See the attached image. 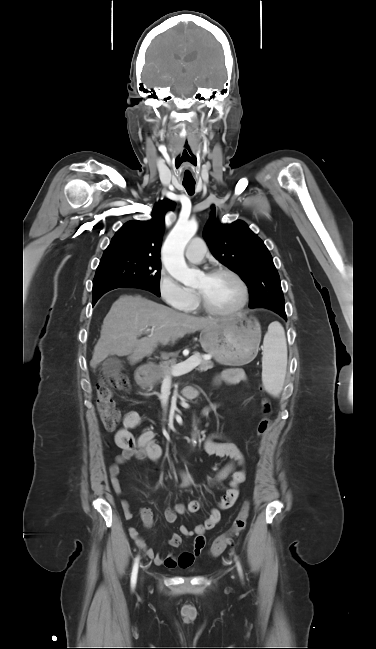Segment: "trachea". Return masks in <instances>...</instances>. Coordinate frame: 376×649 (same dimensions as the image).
I'll use <instances>...</instances> for the list:
<instances>
[{
  "label": "trachea",
  "mask_w": 376,
  "mask_h": 649,
  "mask_svg": "<svg viewBox=\"0 0 376 649\" xmlns=\"http://www.w3.org/2000/svg\"><path fill=\"white\" fill-rule=\"evenodd\" d=\"M183 186L185 187L187 193L189 195H193L195 191V182L192 183H183Z\"/></svg>",
  "instance_id": "3493384b"
}]
</instances>
